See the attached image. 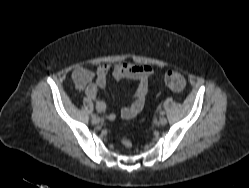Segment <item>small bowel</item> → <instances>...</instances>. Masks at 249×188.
I'll list each match as a JSON object with an SVG mask.
<instances>
[{"label": "small bowel", "mask_w": 249, "mask_h": 188, "mask_svg": "<svg viewBox=\"0 0 249 188\" xmlns=\"http://www.w3.org/2000/svg\"><path fill=\"white\" fill-rule=\"evenodd\" d=\"M112 72L116 80L130 79L136 83V91L133 96L132 103L121 109V117L131 119L135 117L143 108L146 95L149 89V78L154 73V69L150 65H138L134 63H119L111 67L109 64H100L95 75L85 68H76L72 77L75 85L84 90L87 98L94 102L98 112L106 110V103L98 98L99 89L106 86V76ZM109 120H114L115 115L110 113Z\"/></svg>", "instance_id": "c3829d8e"}]
</instances>
